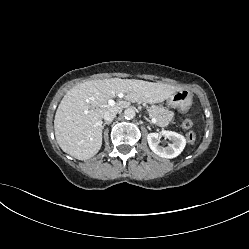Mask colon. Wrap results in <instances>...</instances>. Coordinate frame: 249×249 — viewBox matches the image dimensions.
<instances>
[{"label": "colon", "mask_w": 249, "mask_h": 249, "mask_svg": "<svg viewBox=\"0 0 249 249\" xmlns=\"http://www.w3.org/2000/svg\"><path fill=\"white\" fill-rule=\"evenodd\" d=\"M193 125V121L190 119V118H186L183 123H182V126L184 129H191ZM187 140L189 143H194L195 140H196V134L193 130H189L188 133H187Z\"/></svg>", "instance_id": "colon-1"}]
</instances>
